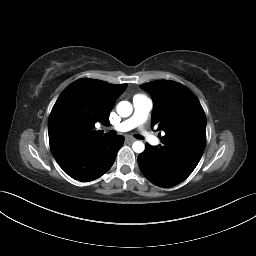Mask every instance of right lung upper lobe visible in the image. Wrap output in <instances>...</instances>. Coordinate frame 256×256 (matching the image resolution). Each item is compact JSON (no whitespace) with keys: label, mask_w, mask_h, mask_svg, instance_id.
I'll use <instances>...</instances> for the list:
<instances>
[{"label":"right lung upper lobe","mask_w":256,"mask_h":256,"mask_svg":"<svg viewBox=\"0 0 256 256\" xmlns=\"http://www.w3.org/2000/svg\"><path fill=\"white\" fill-rule=\"evenodd\" d=\"M127 84L82 78L71 83L59 96L48 121L53 156L106 137L95 123L108 125L109 114Z\"/></svg>","instance_id":"right-lung-upper-lobe-1"}]
</instances>
